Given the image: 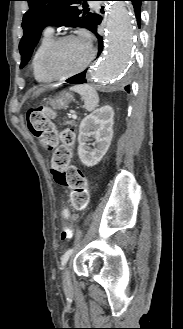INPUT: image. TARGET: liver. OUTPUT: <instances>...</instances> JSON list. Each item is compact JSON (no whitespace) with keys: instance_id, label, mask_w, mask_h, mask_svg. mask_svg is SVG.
Here are the masks:
<instances>
[{"instance_id":"6515ba94","label":"liver","mask_w":183,"mask_h":329,"mask_svg":"<svg viewBox=\"0 0 183 329\" xmlns=\"http://www.w3.org/2000/svg\"><path fill=\"white\" fill-rule=\"evenodd\" d=\"M41 92H42V89L37 90V91L34 93V96H35V95H39Z\"/></svg>"}]
</instances>
